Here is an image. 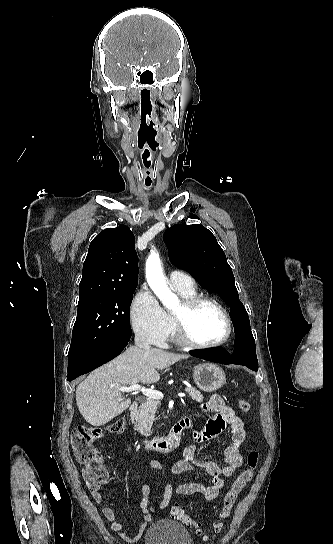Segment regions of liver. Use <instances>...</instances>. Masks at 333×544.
<instances>
[{"label": "liver", "mask_w": 333, "mask_h": 544, "mask_svg": "<svg viewBox=\"0 0 333 544\" xmlns=\"http://www.w3.org/2000/svg\"><path fill=\"white\" fill-rule=\"evenodd\" d=\"M185 354H175L162 349L145 352L138 347H129L121 355L90 373L76 389L78 409L86 422L102 426L124 412L131 399H123L120 387L139 382H158L163 370L181 359Z\"/></svg>", "instance_id": "1"}]
</instances>
